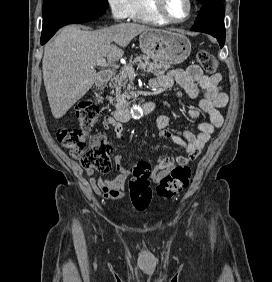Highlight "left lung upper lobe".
<instances>
[{"label":"left lung upper lobe","instance_id":"obj_1","mask_svg":"<svg viewBox=\"0 0 272 282\" xmlns=\"http://www.w3.org/2000/svg\"><path fill=\"white\" fill-rule=\"evenodd\" d=\"M196 1H198V2H200V3H207V2H212V1H222V0H196Z\"/></svg>","mask_w":272,"mask_h":282}]
</instances>
